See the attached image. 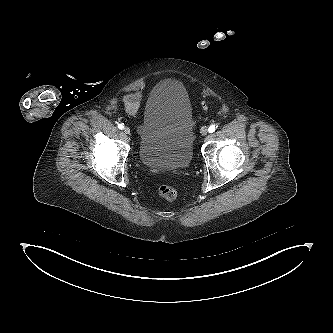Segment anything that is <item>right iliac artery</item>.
I'll return each instance as SVG.
<instances>
[{
  "label": "right iliac artery",
  "mask_w": 333,
  "mask_h": 333,
  "mask_svg": "<svg viewBox=\"0 0 333 333\" xmlns=\"http://www.w3.org/2000/svg\"><path fill=\"white\" fill-rule=\"evenodd\" d=\"M118 128L122 130L124 128V124L123 123L118 124Z\"/></svg>",
  "instance_id": "right-iliac-artery-1"
}]
</instances>
